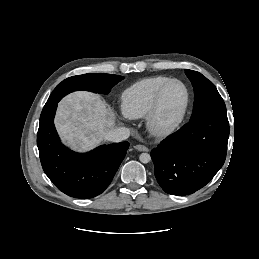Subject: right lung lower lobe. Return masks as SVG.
Here are the masks:
<instances>
[{
    "mask_svg": "<svg viewBox=\"0 0 259 259\" xmlns=\"http://www.w3.org/2000/svg\"><path fill=\"white\" fill-rule=\"evenodd\" d=\"M57 103L44 106L37 133V146L45 174L63 193L92 198L111 183L129 148L128 142L102 145L79 154L61 144L54 126Z\"/></svg>",
    "mask_w": 259,
    "mask_h": 259,
    "instance_id": "98d812e1",
    "label": "right lung lower lobe"
}]
</instances>
